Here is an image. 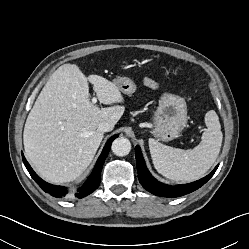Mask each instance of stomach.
<instances>
[{
	"mask_svg": "<svg viewBox=\"0 0 249 249\" xmlns=\"http://www.w3.org/2000/svg\"><path fill=\"white\" fill-rule=\"evenodd\" d=\"M115 83L125 94H132L136 90L135 83L128 77H119ZM187 120V105L184 98L164 92L152 117L153 135L162 141H171L179 136Z\"/></svg>",
	"mask_w": 249,
	"mask_h": 249,
	"instance_id": "stomach-1",
	"label": "stomach"
}]
</instances>
